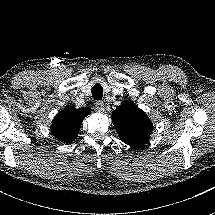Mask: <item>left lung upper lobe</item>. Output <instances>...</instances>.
<instances>
[{
    "instance_id": "1",
    "label": "left lung upper lobe",
    "mask_w": 215,
    "mask_h": 215,
    "mask_svg": "<svg viewBox=\"0 0 215 215\" xmlns=\"http://www.w3.org/2000/svg\"><path fill=\"white\" fill-rule=\"evenodd\" d=\"M112 122L121 140L132 148L145 145L153 130L145 112L129 101L123 102L112 112Z\"/></svg>"
}]
</instances>
